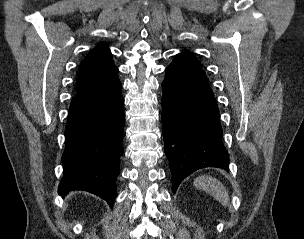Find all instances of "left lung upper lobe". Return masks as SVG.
I'll return each mask as SVG.
<instances>
[{
	"instance_id": "left-lung-upper-lobe-1",
	"label": "left lung upper lobe",
	"mask_w": 304,
	"mask_h": 239,
	"mask_svg": "<svg viewBox=\"0 0 304 239\" xmlns=\"http://www.w3.org/2000/svg\"><path fill=\"white\" fill-rule=\"evenodd\" d=\"M184 56L199 66V61L192 54L186 52Z\"/></svg>"
}]
</instances>
